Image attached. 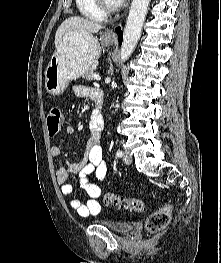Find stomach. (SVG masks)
<instances>
[{
  "instance_id": "1",
  "label": "stomach",
  "mask_w": 221,
  "mask_h": 263,
  "mask_svg": "<svg viewBox=\"0 0 221 263\" xmlns=\"http://www.w3.org/2000/svg\"><path fill=\"white\" fill-rule=\"evenodd\" d=\"M101 44L110 46L114 39L100 38ZM101 48L98 39L83 31L66 33L45 71V89L52 95H59L72 80H76L97 61Z\"/></svg>"
}]
</instances>
